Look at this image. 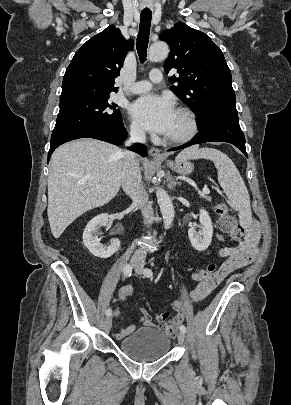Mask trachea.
<instances>
[{
    "label": "trachea",
    "instance_id": "1",
    "mask_svg": "<svg viewBox=\"0 0 291 405\" xmlns=\"http://www.w3.org/2000/svg\"><path fill=\"white\" fill-rule=\"evenodd\" d=\"M152 12L142 11L140 15L139 34L137 37V52L141 62L146 60Z\"/></svg>",
    "mask_w": 291,
    "mask_h": 405
}]
</instances>
